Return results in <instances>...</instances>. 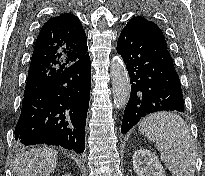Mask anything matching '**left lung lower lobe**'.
Returning a JSON list of instances; mask_svg holds the SVG:
<instances>
[{"label": "left lung lower lobe", "mask_w": 205, "mask_h": 176, "mask_svg": "<svg viewBox=\"0 0 205 176\" xmlns=\"http://www.w3.org/2000/svg\"><path fill=\"white\" fill-rule=\"evenodd\" d=\"M131 82V95L124 111L121 132L158 111L184 112L181 83L167 48L125 27L117 42Z\"/></svg>", "instance_id": "obj_1"}]
</instances>
